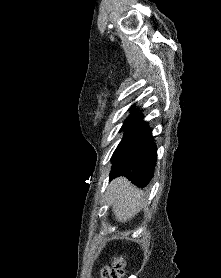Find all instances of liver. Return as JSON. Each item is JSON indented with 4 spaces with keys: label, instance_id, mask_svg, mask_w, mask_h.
Here are the masks:
<instances>
[{
    "label": "liver",
    "instance_id": "6515ba94",
    "mask_svg": "<svg viewBox=\"0 0 221 278\" xmlns=\"http://www.w3.org/2000/svg\"><path fill=\"white\" fill-rule=\"evenodd\" d=\"M107 195L114 216L120 222L135 217L145 202L143 192L123 177L116 178L110 183Z\"/></svg>",
    "mask_w": 221,
    "mask_h": 278
}]
</instances>
